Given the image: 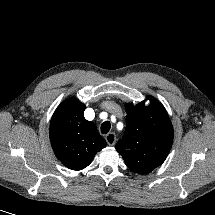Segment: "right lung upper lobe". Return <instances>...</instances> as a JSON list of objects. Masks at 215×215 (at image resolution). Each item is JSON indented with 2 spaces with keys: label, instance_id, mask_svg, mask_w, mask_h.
Returning a JSON list of instances; mask_svg holds the SVG:
<instances>
[{
  "label": "right lung upper lobe",
  "instance_id": "obj_1",
  "mask_svg": "<svg viewBox=\"0 0 215 215\" xmlns=\"http://www.w3.org/2000/svg\"><path fill=\"white\" fill-rule=\"evenodd\" d=\"M85 105L77 98L64 100L50 122V141L56 157L71 170L87 167L106 141L95 124L84 118Z\"/></svg>",
  "mask_w": 215,
  "mask_h": 215
}]
</instances>
